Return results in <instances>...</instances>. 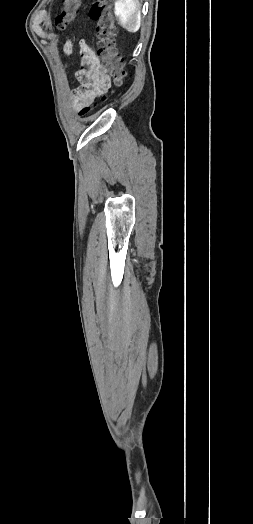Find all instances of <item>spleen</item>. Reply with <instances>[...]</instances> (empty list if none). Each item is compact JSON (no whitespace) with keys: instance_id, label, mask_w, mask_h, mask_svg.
<instances>
[{"instance_id":"spleen-1","label":"spleen","mask_w":253,"mask_h":524,"mask_svg":"<svg viewBox=\"0 0 253 524\" xmlns=\"http://www.w3.org/2000/svg\"><path fill=\"white\" fill-rule=\"evenodd\" d=\"M137 0H116L114 12L119 19L120 25L129 32H137L141 25L140 16L137 13Z\"/></svg>"}]
</instances>
